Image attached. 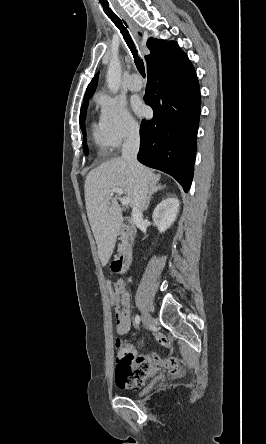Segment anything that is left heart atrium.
Wrapping results in <instances>:
<instances>
[{"instance_id": "obj_1", "label": "left heart atrium", "mask_w": 266, "mask_h": 444, "mask_svg": "<svg viewBox=\"0 0 266 444\" xmlns=\"http://www.w3.org/2000/svg\"><path fill=\"white\" fill-rule=\"evenodd\" d=\"M133 109H134L135 112H136L137 114H139V115H142V114H144V112H145V108H144V106H143L141 103H139V102H135V103H133Z\"/></svg>"}]
</instances>
